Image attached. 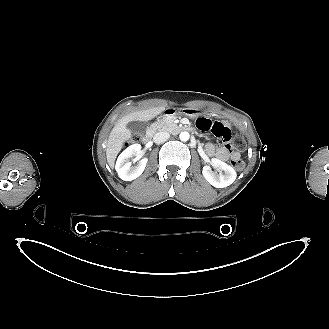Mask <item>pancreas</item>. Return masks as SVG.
Returning a JSON list of instances; mask_svg holds the SVG:
<instances>
[{"instance_id":"1","label":"pancreas","mask_w":329,"mask_h":329,"mask_svg":"<svg viewBox=\"0 0 329 329\" xmlns=\"http://www.w3.org/2000/svg\"><path fill=\"white\" fill-rule=\"evenodd\" d=\"M152 126L158 129V131H168L170 133H177L179 131L178 126L175 124V117L157 119Z\"/></svg>"}]
</instances>
